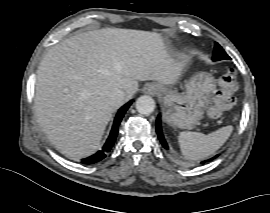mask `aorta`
Masks as SVG:
<instances>
[{
	"instance_id": "762f6f07",
	"label": "aorta",
	"mask_w": 270,
	"mask_h": 213,
	"mask_svg": "<svg viewBox=\"0 0 270 213\" xmlns=\"http://www.w3.org/2000/svg\"><path fill=\"white\" fill-rule=\"evenodd\" d=\"M136 109L140 114L149 115L155 109V101L152 97L143 95L136 100Z\"/></svg>"
}]
</instances>
